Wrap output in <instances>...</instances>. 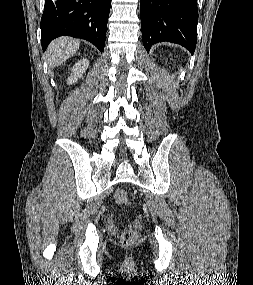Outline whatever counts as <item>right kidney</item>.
I'll return each instance as SVG.
<instances>
[{
	"mask_svg": "<svg viewBox=\"0 0 253 285\" xmlns=\"http://www.w3.org/2000/svg\"><path fill=\"white\" fill-rule=\"evenodd\" d=\"M89 67V60L82 59L78 61L72 68V74L70 77H68V84H72L76 82L80 77H82L83 73L87 70Z\"/></svg>",
	"mask_w": 253,
	"mask_h": 285,
	"instance_id": "ca27d5eb",
	"label": "right kidney"
}]
</instances>
